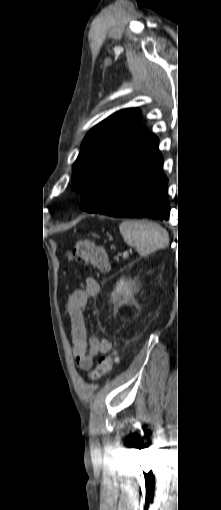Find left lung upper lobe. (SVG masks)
Masks as SVG:
<instances>
[{
  "label": "left lung upper lobe",
  "mask_w": 221,
  "mask_h": 510,
  "mask_svg": "<svg viewBox=\"0 0 221 510\" xmlns=\"http://www.w3.org/2000/svg\"><path fill=\"white\" fill-rule=\"evenodd\" d=\"M141 112L123 109L93 127L73 166L72 189L86 207L102 209L160 153L158 138L140 123Z\"/></svg>",
  "instance_id": "left-lung-upper-lobe-1"
}]
</instances>
